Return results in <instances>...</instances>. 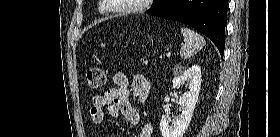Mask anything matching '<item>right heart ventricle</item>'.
Listing matches in <instances>:
<instances>
[{"label":"right heart ventricle","instance_id":"obj_1","mask_svg":"<svg viewBox=\"0 0 280 137\" xmlns=\"http://www.w3.org/2000/svg\"><path fill=\"white\" fill-rule=\"evenodd\" d=\"M98 10H99V11H102V12L105 11V9H104L103 7H99Z\"/></svg>","mask_w":280,"mask_h":137}]
</instances>
